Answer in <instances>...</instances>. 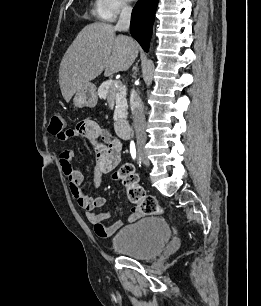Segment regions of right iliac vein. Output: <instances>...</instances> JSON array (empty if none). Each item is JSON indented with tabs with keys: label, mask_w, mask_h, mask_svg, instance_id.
Segmentation results:
<instances>
[{
	"label": "right iliac vein",
	"mask_w": 261,
	"mask_h": 306,
	"mask_svg": "<svg viewBox=\"0 0 261 306\" xmlns=\"http://www.w3.org/2000/svg\"><path fill=\"white\" fill-rule=\"evenodd\" d=\"M137 147H138V155L140 160L146 165L149 166V161L147 159L145 150H144V141L143 140H138L137 141Z\"/></svg>",
	"instance_id": "1"
}]
</instances>
